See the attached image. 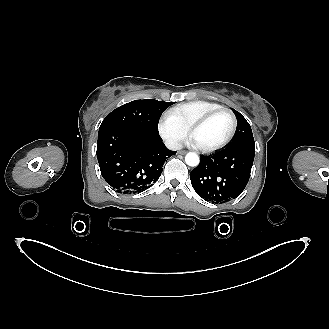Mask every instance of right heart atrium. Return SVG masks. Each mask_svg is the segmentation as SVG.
Here are the masks:
<instances>
[{"label":"right heart atrium","instance_id":"right-heart-atrium-1","mask_svg":"<svg viewBox=\"0 0 329 329\" xmlns=\"http://www.w3.org/2000/svg\"><path fill=\"white\" fill-rule=\"evenodd\" d=\"M158 132L166 144L177 149L187 136V129L168 112L158 121Z\"/></svg>","mask_w":329,"mask_h":329}]
</instances>
